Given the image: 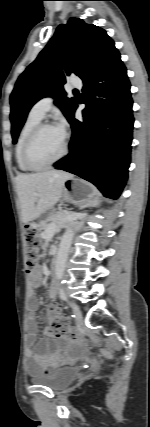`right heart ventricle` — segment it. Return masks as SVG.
<instances>
[{"instance_id":"1","label":"right heart ventricle","mask_w":150,"mask_h":427,"mask_svg":"<svg viewBox=\"0 0 150 427\" xmlns=\"http://www.w3.org/2000/svg\"><path fill=\"white\" fill-rule=\"evenodd\" d=\"M42 118L38 117L37 115H35L32 111L29 112L28 116L26 117L18 138H17V142H16V146H15V158H16V162L18 165V168L21 171H30V169L25 165L24 161H23V156H22V152H23V145L25 142L26 137L28 136V134L30 133V131L41 122Z\"/></svg>"}]
</instances>
